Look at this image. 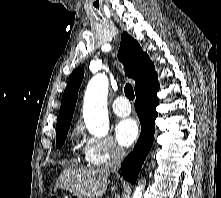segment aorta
Returning a JSON list of instances; mask_svg holds the SVG:
<instances>
[{"instance_id": "obj_1", "label": "aorta", "mask_w": 221, "mask_h": 198, "mask_svg": "<svg viewBox=\"0 0 221 198\" xmlns=\"http://www.w3.org/2000/svg\"><path fill=\"white\" fill-rule=\"evenodd\" d=\"M108 78L103 73L92 77L84 96L83 117L88 131L96 137H104L109 131L107 112ZM144 182L136 186L132 198H141Z\"/></svg>"}]
</instances>
